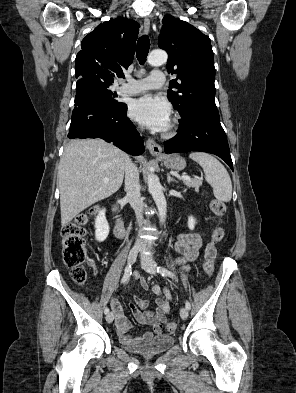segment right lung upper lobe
I'll use <instances>...</instances> for the list:
<instances>
[{
    "instance_id": "cb5924a9",
    "label": "right lung upper lobe",
    "mask_w": 296,
    "mask_h": 393,
    "mask_svg": "<svg viewBox=\"0 0 296 393\" xmlns=\"http://www.w3.org/2000/svg\"><path fill=\"white\" fill-rule=\"evenodd\" d=\"M140 25L130 19L116 18L98 25L81 42L75 59L76 78L95 77L114 82L123 77L122 68L132 63Z\"/></svg>"
}]
</instances>
